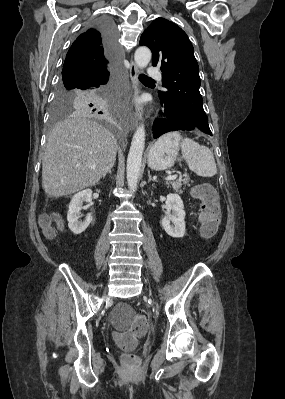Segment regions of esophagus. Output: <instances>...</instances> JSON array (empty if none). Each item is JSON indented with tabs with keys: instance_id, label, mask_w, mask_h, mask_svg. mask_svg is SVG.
Here are the masks:
<instances>
[{
	"instance_id": "obj_1",
	"label": "esophagus",
	"mask_w": 285,
	"mask_h": 399,
	"mask_svg": "<svg viewBox=\"0 0 285 399\" xmlns=\"http://www.w3.org/2000/svg\"><path fill=\"white\" fill-rule=\"evenodd\" d=\"M129 73H130V80L132 83V87L134 89V99H137L140 93L139 90V82H138V68L137 65L133 60L130 61V68H129ZM136 111L133 112L130 115V126L131 128H134L137 121L142 119V107L137 104L135 106Z\"/></svg>"
}]
</instances>
